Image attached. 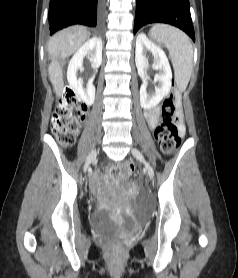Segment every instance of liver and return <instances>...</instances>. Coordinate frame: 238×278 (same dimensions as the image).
Wrapping results in <instances>:
<instances>
[{"label": "liver", "mask_w": 238, "mask_h": 278, "mask_svg": "<svg viewBox=\"0 0 238 278\" xmlns=\"http://www.w3.org/2000/svg\"><path fill=\"white\" fill-rule=\"evenodd\" d=\"M90 32L82 26H72L56 33L48 42L49 79L54 92L59 97L63 91V71L61 61L72 55L88 38Z\"/></svg>", "instance_id": "6515ba94"}]
</instances>
